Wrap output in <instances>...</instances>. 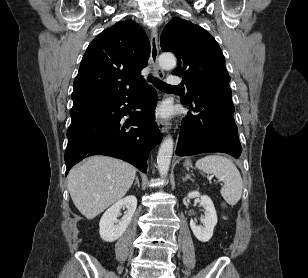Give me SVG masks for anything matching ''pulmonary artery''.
Here are the masks:
<instances>
[{"label": "pulmonary artery", "mask_w": 308, "mask_h": 278, "mask_svg": "<svg viewBox=\"0 0 308 278\" xmlns=\"http://www.w3.org/2000/svg\"><path fill=\"white\" fill-rule=\"evenodd\" d=\"M168 83L171 86H178L182 83V79L179 76L172 75L168 78Z\"/></svg>", "instance_id": "pulmonary-artery-1"}]
</instances>
